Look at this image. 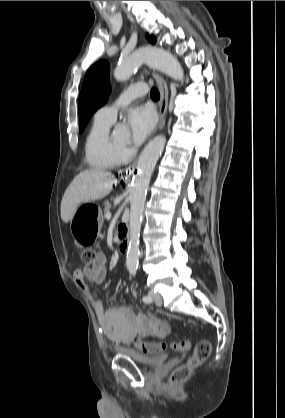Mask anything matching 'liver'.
I'll return each instance as SVG.
<instances>
[{"label": "liver", "instance_id": "6515ba94", "mask_svg": "<svg viewBox=\"0 0 285 418\" xmlns=\"http://www.w3.org/2000/svg\"><path fill=\"white\" fill-rule=\"evenodd\" d=\"M116 182L112 173L92 168L80 172L67 187L61 201V219L68 223L81 203L106 197Z\"/></svg>", "mask_w": 285, "mask_h": 418}]
</instances>
